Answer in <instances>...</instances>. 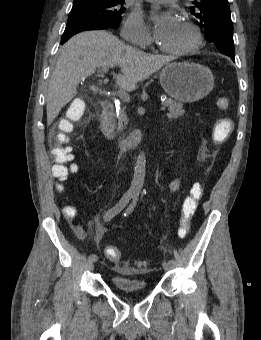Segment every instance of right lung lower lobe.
I'll return each mask as SVG.
<instances>
[{
    "instance_id": "obj_1",
    "label": "right lung lower lobe",
    "mask_w": 261,
    "mask_h": 340,
    "mask_svg": "<svg viewBox=\"0 0 261 340\" xmlns=\"http://www.w3.org/2000/svg\"><path fill=\"white\" fill-rule=\"evenodd\" d=\"M109 28L105 24L88 16H73L67 20L65 31L61 38V44H64L70 37L78 32L86 30H101Z\"/></svg>"
}]
</instances>
